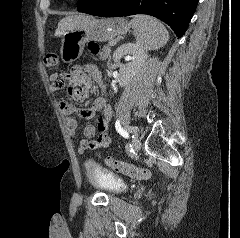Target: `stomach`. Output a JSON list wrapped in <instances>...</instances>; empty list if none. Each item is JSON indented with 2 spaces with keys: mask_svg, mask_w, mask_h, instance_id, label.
<instances>
[{
  "mask_svg": "<svg viewBox=\"0 0 240 238\" xmlns=\"http://www.w3.org/2000/svg\"><path fill=\"white\" fill-rule=\"evenodd\" d=\"M129 29L130 23L123 18H90L62 35L61 59L64 63H72L82 55L85 43L108 41L127 33Z\"/></svg>",
  "mask_w": 240,
  "mask_h": 238,
  "instance_id": "1",
  "label": "stomach"
}]
</instances>
